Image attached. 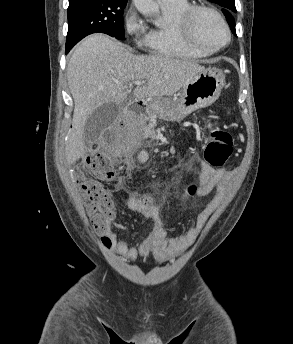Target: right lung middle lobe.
I'll list each match as a JSON object with an SVG mask.
<instances>
[{"mask_svg": "<svg viewBox=\"0 0 293 344\" xmlns=\"http://www.w3.org/2000/svg\"><path fill=\"white\" fill-rule=\"evenodd\" d=\"M127 1L82 0L68 7L66 53L85 36L101 32L124 40L123 13Z\"/></svg>", "mask_w": 293, "mask_h": 344, "instance_id": "right-lung-middle-lobe-1", "label": "right lung middle lobe"}]
</instances>
